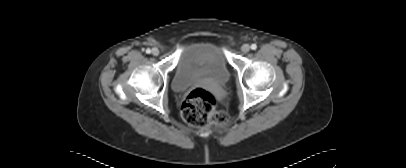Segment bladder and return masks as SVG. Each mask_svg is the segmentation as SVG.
Instances as JSON below:
<instances>
[{
  "label": "bladder",
  "instance_id": "31cf9c89",
  "mask_svg": "<svg viewBox=\"0 0 406 168\" xmlns=\"http://www.w3.org/2000/svg\"><path fill=\"white\" fill-rule=\"evenodd\" d=\"M229 79L227 61L219 47L211 42L198 41L182 49L172 80V88L176 92H182L202 80L224 84Z\"/></svg>",
  "mask_w": 406,
  "mask_h": 168
}]
</instances>
